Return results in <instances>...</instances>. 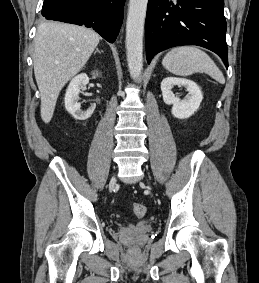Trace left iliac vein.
I'll return each mask as SVG.
<instances>
[{
    "mask_svg": "<svg viewBox=\"0 0 259 283\" xmlns=\"http://www.w3.org/2000/svg\"><path fill=\"white\" fill-rule=\"evenodd\" d=\"M148 188L151 189V186L149 185Z\"/></svg>",
    "mask_w": 259,
    "mask_h": 283,
    "instance_id": "4c4485c4",
    "label": "left iliac vein"
}]
</instances>
